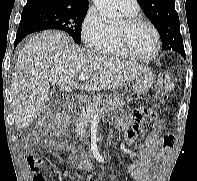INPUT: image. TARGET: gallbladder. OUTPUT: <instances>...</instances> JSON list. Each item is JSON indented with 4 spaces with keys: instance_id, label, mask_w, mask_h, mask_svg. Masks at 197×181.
Listing matches in <instances>:
<instances>
[{
    "instance_id": "bac80fb5",
    "label": "gallbladder",
    "mask_w": 197,
    "mask_h": 181,
    "mask_svg": "<svg viewBox=\"0 0 197 181\" xmlns=\"http://www.w3.org/2000/svg\"><path fill=\"white\" fill-rule=\"evenodd\" d=\"M51 93H52V91H51ZM50 104L53 105V101Z\"/></svg>"
}]
</instances>
